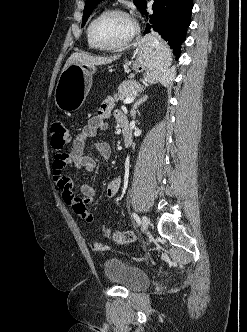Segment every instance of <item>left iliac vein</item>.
<instances>
[{"label":"left iliac vein","mask_w":247,"mask_h":332,"mask_svg":"<svg viewBox=\"0 0 247 332\" xmlns=\"http://www.w3.org/2000/svg\"><path fill=\"white\" fill-rule=\"evenodd\" d=\"M149 226V219L147 218V216H142V231L146 232V230L148 229Z\"/></svg>","instance_id":"4c4485c4"}]
</instances>
